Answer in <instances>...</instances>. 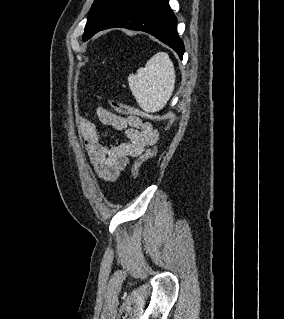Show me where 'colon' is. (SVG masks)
<instances>
[{
	"mask_svg": "<svg viewBox=\"0 0 284 319\" xmlns=\"http://www.w3.org/2000/svg\"><path fill=\"white\" fill-rule=\"evenodd\" d=\"M108 103L114 111L123 115L135 116V117L144 118V119H148L152 121H164L167 123V126H166L167 129L171 128L176 121V115L172 112H165L162 114H150L116 100H109ZM156 153H157L156 149H149L143 155L137 158V160L133 163V166L131 169L132 177L134 180L138 178L142 164L146 160L154 157Z\"/></svg>",
	"mask_w": 284,
	"mask_h": 319,
	"instance_id": "colon-1",
	"label": "colon"
}]
</instances>
